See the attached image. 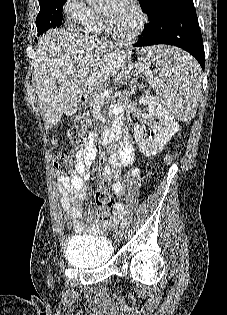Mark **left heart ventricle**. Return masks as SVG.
<instances>
[{"instance_id":"1","label":"left heart ventricle","mask_w":227,"mask_h":315,"mask_svg":"<svg viewBox=\"0 0 227 315\" xmlns=\"http://www.w3.org/2000/svg\"><path fill=\"white\" fill-rule=\"evenodd\" d=\"M101 12H104L114 28L120 34H131L138 25V17L131 5L124 0H107Z\"/></svg>"}]
</instances>
